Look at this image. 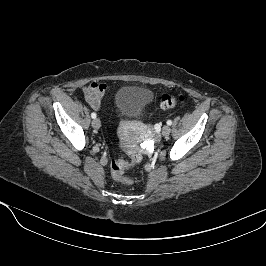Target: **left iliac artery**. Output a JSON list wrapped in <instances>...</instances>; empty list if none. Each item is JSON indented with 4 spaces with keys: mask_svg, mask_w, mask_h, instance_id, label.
<instances>
[{
    "mask_svg": "<svg viewBox=\"0 0 266 266\" xmlns=\"http://www.w3.org/2000/svg\"><path fill=\"white\" fill-rule=\"evenodd\" d=\"M172 124V121L171 120H168L167 121V125H171Z\"/></svg>",
    "mask_w": 266,
    "mask_h": 266,
    "instance_id": "44dca946",
    "label": "left iliac artery"
}]
</instances>
